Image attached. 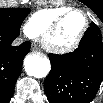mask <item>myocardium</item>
I'll list each match as a JSON object with an SVG mask.
<instances>
[{
    "label": "myocardium",
    "instance_id": "1",
    "mask_svg": "<svg viewBox=\"0 0 103 103\" xmlns=\"http://www.w3.org/2000/svg\"><path fill=\"white\" fill-rule=\"evenodd\" d=\"M74 13H81L84 16L85 19V24L83 27V30L81 31L80 35L77 37V39L67 45V46H54L51 43V37L54 34V32L59 28V26L61 25V23L70 15L74 14ZM89 18L87 13L79 8H73V9H69L67 11H65L64 13L60 14L59 16H57L48 26L47 28L44 30V32L41 35V43L42 46L49 52L55 53V54H66L69 52L74 51L75 49L78 48V46L81 44V42L83 41L84 37L86 36V33L89 29Z\"/></svg>",
    "mask_w": 103,
    "mask_h": 103
}]
</instances>
